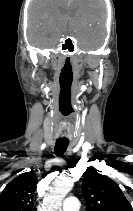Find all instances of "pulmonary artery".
I'll return each instance as SVG.
<instances>
[{
  "label": "pulmonary artery",
  "instance_id": "obj_1",
  "mask_svg": "<svg viewBox=\"0 0 133 211\" xmlns=\"http://www.w3.org/2000/svg\"><path fill=\"white\" fill-rule=\"evenodd\" d=\"M62 211H79V201L76 197H68L64 200Z\"/></svg>",
  "mask_w": 133,
  "mask_h": 211
}]
</instances>
